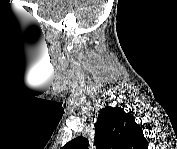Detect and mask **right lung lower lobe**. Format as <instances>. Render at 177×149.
<instances>
[{
	"instance_id": "98d812e1",
	"label": "right lung lower lobe",
	"mask_w": 177,
	"mask_h": 149,
	"mask_svg": "<svg viewBox=\"0 0 177 149\" xmlns=\"http://www.w3.org/2000/svg\"><path fill=\"white\" fill-rule=\"evenodd\" d=\"M142 147H143V148H147V147H148V145L146 144V145H143Z\"/></svg>"
}]
</instances>
